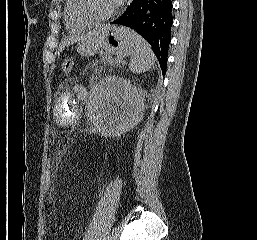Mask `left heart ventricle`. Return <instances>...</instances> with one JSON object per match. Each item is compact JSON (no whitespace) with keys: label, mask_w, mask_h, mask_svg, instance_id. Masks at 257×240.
<instances>
[{"label":"left heart ventricle","mask_w":257,"mask_h":240,"mask_svg":"<svg viewBox=\"0 0 257 240\" xmlns=\"http://www.w3.org/2000/svg\"><path fill=\"white\" fill-rule=\"evenodd\" d=\"M114 0H86L87 9L96 16H104L115 7Z\"/></svg>","instance_id":"obj_1"}]
</instances>
